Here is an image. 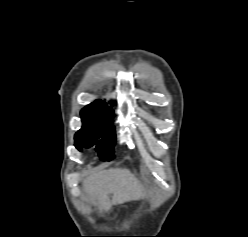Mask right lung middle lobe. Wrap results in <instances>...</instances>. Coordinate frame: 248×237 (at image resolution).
<instances>
[{
    "label": "right lung middle lobe",
    "mask_w": 248,
    "mask_h": 237,
    "mask_svg": "<svg viewBox=\"0 0 248 237\" xmlns=\"http://www.w3.org/2000/svg\"><path fill=\"white\" fill-rule=\"evenodd\" d=\"M82 128L75 134V146L88 148L96 144V151L101 160L114 157L113 147L116 142L112 128V118H98L82 115Z\"/></svg>",
    "instance_id": "dd1d6c3e"
}]
</instances>
